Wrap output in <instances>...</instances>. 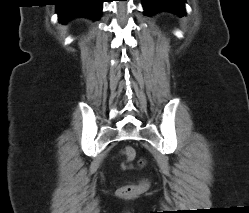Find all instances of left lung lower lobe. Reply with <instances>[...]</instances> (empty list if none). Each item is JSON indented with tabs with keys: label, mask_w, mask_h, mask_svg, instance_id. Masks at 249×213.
<instances>
[{
	"label": "left lung lower lobe",
	"mask_w": 249,
	"mask_h": 213,
	"mask_svg": "<svg viewBox=\"0 0 249 213\" xmlns=\"http://www.w3.org/2000/svg\"><path fill=\"white\" fill-rule=\"evenodd\" d=\"M145 15H151L161 10H168L178 13L180 16L185 14V0H142Z\"/></svg>",
	"instance_id": "obj_1"
}]
</instances>
